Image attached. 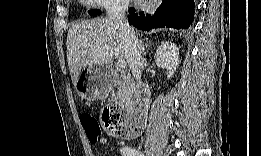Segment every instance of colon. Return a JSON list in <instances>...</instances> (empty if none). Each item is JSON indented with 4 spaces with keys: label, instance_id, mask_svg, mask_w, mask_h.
<instances>
[{
    "label": "colon",
    "instance_id": "obj_1",
    "mask_svg": "<svg viewBox=\"0 0 261 156\" xmlns=\"http://www.w3.org/2000/svg\"><path fill=\"white\" fill-rule=\"evenodd\" d=\"M80 122L88 141L92 144L97 143L102 129L111 136L121 138L136 136L140 133V129L127 126L122 111L113 105L104 107L101 124L88 112L81 114Z\"/></svg>",
    "mask_w": 261,
    "mask_h": 156
}]
</instances>
